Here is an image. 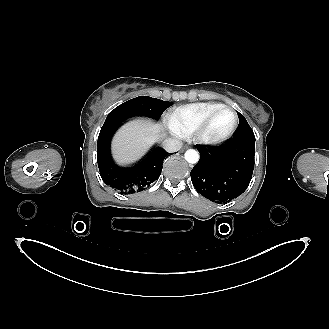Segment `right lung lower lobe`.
I'll list each match as a JSON object with an SVG mask.
<instances>
[{
    "label": "right lung lower lobe",
    "instance_id": "1",
    "mask_svg": "<svg viewBox=\"0 0 329 329\" xmlns=\"http://www.w3.org/2000/svg\"><path fill=\"white\" fill-rule=\"evenodd\" d=\"M122 122L107 121L103 124L97 142V162L100 175L108 186L130 194L146 189L159 178L167 152L161 147H154L136 166L129 169L118 167L111 158L109 147L112 134Z\"/></svg>",
    "mask_w": 329,
    "mask_h": 329
}]
</instances>
